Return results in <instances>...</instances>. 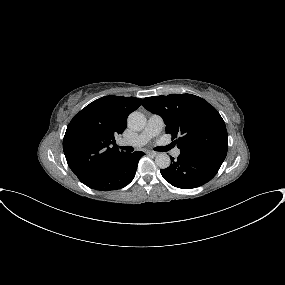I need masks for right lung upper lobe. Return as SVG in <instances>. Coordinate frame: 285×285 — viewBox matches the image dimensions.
<instances>
[{"label": "right lung upper lobe", "mask_w": 285, "mask_h": 285, "mask_svg": "<svg viewBox=\"0 0 285 285\" xmlns=\"http://www.w3.org/2000/svg\"><path fill=\"white\" fill-rule=\"evenodd\" d=\"M140 105L141 99L135 97L105 96L73 117L63 139V150L79 180L127 153L112 145L115 136L125 130L128 115Z\"/></svg>", "instance_id": "cb5924a9"}]
</instances>
